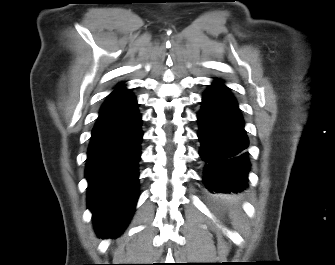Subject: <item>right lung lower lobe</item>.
Masks as SVG:
<instances>
[{
	"label": "right lung lower lobe",
	"mask_w": 335,
	"mask_h": 265,
	"mask_svg": "<svg viewBox=\"0 0 335 265\" xmlns=\"http://www.w3.org/2000/svg\"><path fill=\"white\" fill-rule=\"evenodd\" d=\"M141 115L128 89L102 105L87 153L88 208L99 237L122 234L138 199Z\"/></svg>",
	"instance_id": "1"
}]
</instances>
